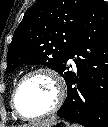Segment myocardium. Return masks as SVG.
<instances>
[{
	"label": "myocardium",
	"instance_id": "obj_1",
	"mask_svg": "<svg viewBox=\"0 0 108 127\" xmlns=\"http://www.w3.org/2000/svg\"><path fill=\"white\" fill-rule=\"evenodd\" d=\"M38 74L47 75L48 77H50L52 79V81L54 82V84L56 86V100H55L54 105L45 113L37 115V116H26V115L22 114L20 112V110L18 109L17 102H16L17 95H18V92H19L21 86L23 85V83L30 77L38 75ZM65 97H66V86H65L63 79L52 69L36 68V69H33V70L27 72L17 82V84L13 90L12 96H11V107H12L14 113L19 118H21L23 120L33 121V120L45 118V117L50 116V115L54 114L55 112H57L59 110V108L62 106V104L65 100Z\"/></svg>",
	"mask_w": 108,
	"mask_h": 127
}]
</instances>
